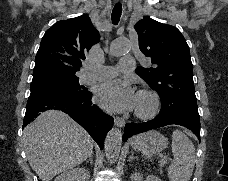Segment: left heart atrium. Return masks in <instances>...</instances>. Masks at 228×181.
<instances>
[{
	"label": "left heart atrium",
	"mask_w": 228,
	"mask_h": 181,
	"mask_svg": "<svg viewBox=\"0 0 228 181\" xmlns=\"http://www.w3.org/2000/svg\"><path fill=\"white\" fill-rule=\"evenodd\" d=\"M98 95L103 104L115 111L129 110L134 105L132 86L126 80L113 79L107 82Z\"/></svg>",
	"instance_id": "39dd6f15"
}]
</instances>
